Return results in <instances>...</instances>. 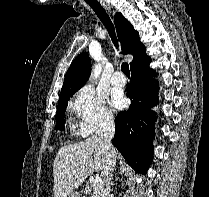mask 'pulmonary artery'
<instances>
[{"instance_id":"obj_1","label":"pulmonary artery","mask_w":209,"mask_h":197,"mask_svg":"<svg viewBox=\"0 0 209 197\" xmlns=\"http://www.w3.org/2000/svg\"><path fill=\"white\" fill-rule=\"evenodd\" d=\"M127 83V80L125 76L122 74V72L117 71L114 73L112 77V84L117 87H123Z\"/></svg>"}]
</instances>
